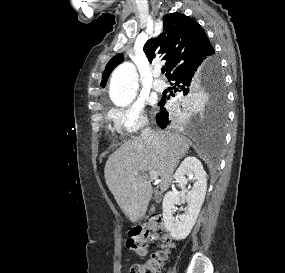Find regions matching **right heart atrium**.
I'll return each instance as SVG.
<instances>
[{"label": "right heart atrium", "mask_w": 285, "mask_h": 273, "mask_svg": "<svg viewBox=\"0 0 285 273\" xmlns=\"http://www.w3.org/2000/svg\"><path fill=\"white\" fill-rule=\"evenodd\" d=\"M110 118L115 130L121 135L136 134L147 124L144 105L140 102L113 108L110 111Z\"/></svg>", "instance_id": "right-heart-atrium-1"}]
</instances>
